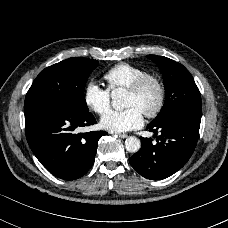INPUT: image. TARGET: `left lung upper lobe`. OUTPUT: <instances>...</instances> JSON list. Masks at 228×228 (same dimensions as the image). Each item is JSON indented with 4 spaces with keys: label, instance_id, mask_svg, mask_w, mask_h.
<instances>
[{
    "label": "left lung upper lobe",
    "instance_id": "1",
    "mask_svg": "<svg viewBox=\"0 0 228 228\" xmlns=\"http://www.w3.org/2000/svg\"><path fill=\"white\" fill-rule=\"evenodd\" d=\"M163 75L166 99L161 112L151 122L161 120L179 113H187L201 117V95L192 75L180 63L167 57L148 55Z\"/></svg>",
    "mask_w": 228,
    "mask_h": 228
}]
</instances>
